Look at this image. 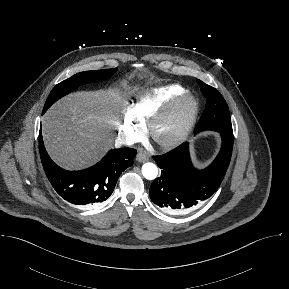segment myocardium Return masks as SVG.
<instances>
[{"mask_svg":"<svg viewBox=\"0 0 289 289\" xmlns=\"http://www.w3.org/2000/svg\"><path fill=\"white\" fill-rule=\"evenodd\" d=\"M182 105L186 107V112L180 128L169 138H159L156 133L158 125ZM198 111L199 103L197 98L190 91L186 90L174 96L150 117L147 123L148 134L160 147L166 149L174 148L184 142L191 133Z\"/></svg>","mask_w":289,"mask_h":289,"instance_id":"1","label":"myocardium"}]
</instances>
